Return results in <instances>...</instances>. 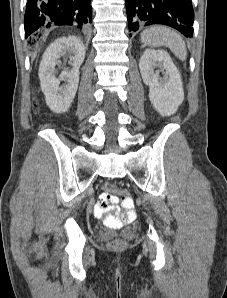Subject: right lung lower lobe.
I'll return each mask as SVG.
<instances>
[{
	"label": "right lung lower lobe",
	"mask_w": 227,
	"mask_h": 298,
	"mask_svg": "<svg viewBox=\"0 0 227 298\" xmlns=\"http://www.w3.org/2000/svg\"><path fill=\"white\" fill-rule=\"evenodd\" d=\"M91 0H27L25 36L42 27L71 25L82 29L92 22Z\"/></svg>",
	"instance_id": "98d812e1"
}]
</instances>
